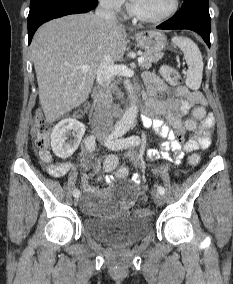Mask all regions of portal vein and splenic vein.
Instances as JSON below:
<instances>
[{"instance_id":"18ae733b","label":"portal vein and splenic vein","mask_w":233,"mask_h":284,"mask_svg":"<svg viewBox=\"0 0 233 284\" xmlns=\"http://www.w3.org/2000/svg\"><path fill=\"white\" fill-rule=\"evenodd\" d=\"M144 62V58L141 56L138 58V63H142ZM76 69H80L82 72H87L90 69L89 65H82V66H78L76 67Z\"/></svg>"}]
</instances>
